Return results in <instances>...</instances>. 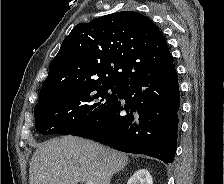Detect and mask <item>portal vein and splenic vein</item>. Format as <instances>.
I'll return each instance as SVG.
<instances>
[{
  "mask_svg": "<svg viewBox=\"0 0 224 184\" xmlns=\"http://www.w3.org/2000/svg\"><path fill=\"white\" fill-rule=\"evenodd\" d=\"M86 184H94L92 181H87Z\"/></svg>",
  "mask_w": 224,
  "mask_h": 184,
  "instance_id": "18ae733b",
  "label": "portal vein and splenic vein"
}]
</instances>
